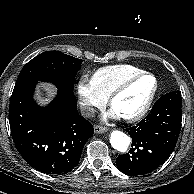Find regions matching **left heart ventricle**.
Wrapping results in <instances>:
<instances>
[{"label": "left heart ventricle", "instance_id": "left-heart-ventricle-1", "mask_svg": "<svg viewBox=\"0 0 194 194\" xmlns=\"http://www.w3.org/2000/svg\"><path fill=\"white\" fill-rule=\"evenodd\" d=\"M154 79L146 76L135 81L125 92L113 102V109L121 116L136 114L146 103L154 89Z\"/></svg>", "mask_w": 194, "mask_h": 194}]
</instances>
